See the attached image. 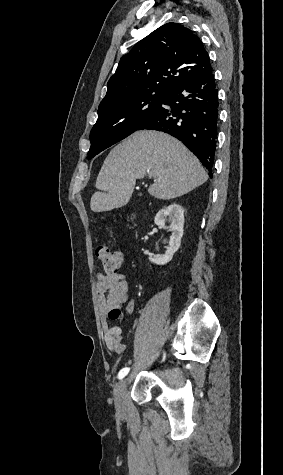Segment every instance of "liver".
<instances>
[{
	"mask_svg": "<svg viewBox=\"0 0 283 475\" xmlns=\"http://www.w3.org/2000/svg\"><path fill=\"white\" fill-rule=\"evenodd\" d=\"M149 174L154 184L150 196L158 200L179 198L202 186L208 176L188 148L164 132L140 130L122 140L108 154L91 198L92 212H109L128 204L136 180Z\"/></svg>",
	"mask_w": 283,
	"mask_h": 475,
	"instance_id": "liver-1",
	"label": "liver"
}]
</instances>
